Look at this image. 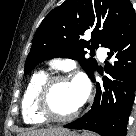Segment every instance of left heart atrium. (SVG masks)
<instances>
[{
    "label": "left heart atrium",
    "mask_w": 136,
    "mask_h": 136,
    "mask_svg": "<svg viewBox=\"0 0 136 136\" xmlns=\"http://www.w3.org/2000/svg\"><path fill=\"white\" fill-rule=\"evenodd\" d=\"M72 84L75 89L76 97L79 105H81L89 92V85L86 78L83 75H78L73 81Z\"/></svg>",
    "instance_id": "39dd6f15"
}]
</instances>
